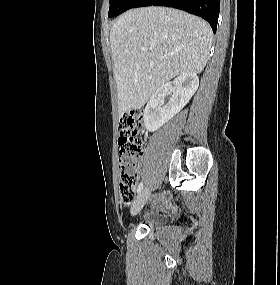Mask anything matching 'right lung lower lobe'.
Segmentation results:
<instances>
[{"instance_id":"right-lung-lower-lobe-1","label":"right lung lower lobe","mask_w":280,"mask_h":285,"mask_svg":"<svg viewBox=\"0 0 280 285\" xmlns=\"http://www.w3.org/2000/svg\"><path fill=\"white\" fill-rule=\"evenodd\" d=\"M151 5L174 7L198 15L204 18L216 33L220 0H137L132 8Z\"/></svg>"}]
</instances>
